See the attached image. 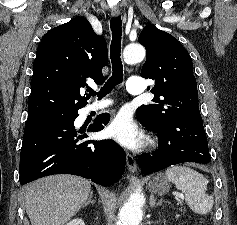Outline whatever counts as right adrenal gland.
Here are the masks:
<instances>
[{
    "label": "right adrenal gland",
    "instance_id": "2a0ac1e0",
    "mask_svg": "<svg viewBox=\"0 0 237 225\" xmlns=\"http://www.w3.org/2000/svg\"><path fill=\"white\" fill-rule=\"evenodd\" d=\"M93 198V192L90 193L89 195V199L87 200V202L83 205V208L86 207L89 204H94L95 200L92 199Z\"/></svg>",
    "mask_w": 237,
    "mask_h": 225
}]
</instances>
